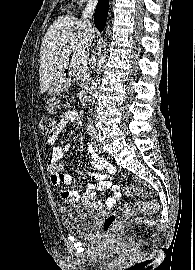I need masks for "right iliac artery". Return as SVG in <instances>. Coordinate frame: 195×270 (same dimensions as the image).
Returning <instances> with one entry per match:
<instances>
[{
    "mask_svg": "<svg viewBox=\"0 0 195 270\" xmlns=\"http://www.w3.org/2000/svg\"><path fill=\"white\" fill-rule=\"evenodd\" d=\"M87 131H88V134H89L90 136H92V133H93V126H92L91 124L88 125Z\"/></svg>",
    "mask_w": 195,
    "mask_h": 270,
    "instance_id": "82829eb1",
    "label": "right iliac artery"
}]
</instances>
